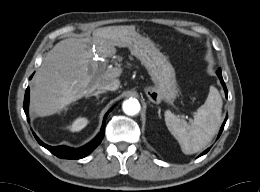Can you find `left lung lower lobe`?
<instances>
[{"mask_svg":"<svg viewBox=\"0 0 260 192\" xmlns=\"http://www.w3.org/2000/svg\"><path fill=\"white\" fill-rule=\"evenodd\" d=\"M219 78H220L221 84H222V86H223V88H224V91H225L226 97H227V88H226V85H225V83H224V81H223L222 76H219ZM226 120H227V117H226L224 123H223L222 126H221V129H220L218 138H219V136H220V134H221V132H222V130H223V128H224V125H225V123H226ZM208 151H209V148H208L207 150H205L201 155L206 154ZM201 155H200V156H201Z\"/></svg>","mask_w":260,"mask_h":192,"instance_id":"left-lung-lower-lobe-1","label":"left lung lower lobe"}]
</instances>
